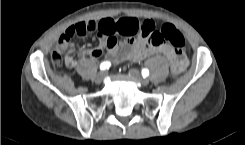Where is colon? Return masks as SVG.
I'll use <instances>...</instances> for the list:
<instances>
[{"instance_id": "5ec220e1", "label": "colon", "mask_w": 245, "mask_h": 145, "mask_svg": "<svg viewBox=\"0 0 245 145\" xmlns=\"http://www.w3.org/2000/svg\"><path fill=\"white\" fill-rule=\"evenodd\" d=\"M89 31L88 25L83 22L76 23L67 28L51 53L53 65L58 67L62 64L65 55V45L72 37L84 36ZM124 34L129 36L139 34L144 40L154 46L167 45L178 51L183 49L186 44L185 37L181 31L174 25L168 23L161 25L146 23L141 29L137 28L135 25H129ZM181 69V66L177 62L172 63V74H177Z\"/></svg>"}]
</instances>
